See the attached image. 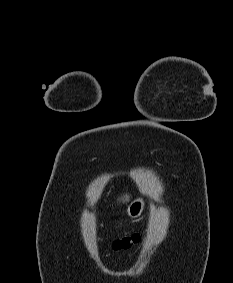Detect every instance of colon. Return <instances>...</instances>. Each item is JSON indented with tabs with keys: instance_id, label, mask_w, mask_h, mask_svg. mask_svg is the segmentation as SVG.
Returning a JSON list of instances; mask_svg holds the SVG:
<instances>
[{
	"instance_id": "colon-1",
	"label": "colon",
	"mask_w": 233,
	"mask_h": 283,
	"mask_svg": "<svg viewBox=\"0 0 233 283\" xmlns=\"http://www.w3.org/2000/svg\"><path fill=\"white\" fill-rule=\"evenodd\" d=\"M140 241V235L139 234H133L130 236L123 237L121 239L115 240L111 247L113 250H123L128 249L134 244L138 243Z\"/></svg>"
}]
</instances>
